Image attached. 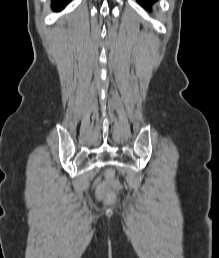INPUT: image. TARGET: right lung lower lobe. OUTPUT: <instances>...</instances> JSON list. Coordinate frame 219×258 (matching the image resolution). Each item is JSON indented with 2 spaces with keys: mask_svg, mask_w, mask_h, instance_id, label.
Wrapping results in <instances>:
<instances>
[{
  "mask_svg": "<svg viewBox=\"0 0 219 258\" xmlns=\"http://www.w3.org/2000/svg\"><path fill=\"white\" fill-rule=\"evenodd\" d=\"M69 2L70 0H52V8L55 11H59L63 9Z\"/></svg>",
  "mask_w": 219,
  "mask_h": 258,
  "instance_id": "right-lung-lower-lobe-1",
  "label": "right lung lower lobe"
}]
</instances>
